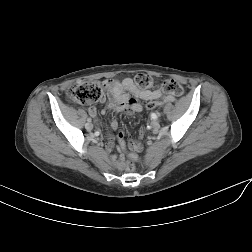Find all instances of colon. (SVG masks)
Here are the masks:
<instances>
[{"label":"colon","mask_w":252,"mask_h":252,"mask_svg":"<svg viewBox=\"0 0 252 252\" xmlns=\"http://www.w3.org/2000/svg\"><path fill=\"white\" fill-rule=\"evenodd\" d=\"M134 83L138 88L147 89L153 85L152 77L145 73H139L134 77ZM159 90L164 92L168 95H175L179 96L183 93L182 85L174 80V79H167L159 84ZM68 96L71 100L79 103H85L89 101H99L102 100L103 90L99 83L97 82H81L73 87H71L68 91ZM159 103L151 102L147 104L148 109H153L158 106ZM140 136H133L131 139V145L133 148H139L140 145ZM126 170L131 172L134 170V163L132 158L128 159L126 164Z\"/></svg>","instance_id":"colon-1"}]
</instances>
